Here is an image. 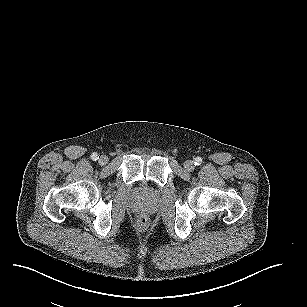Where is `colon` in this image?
<instances>
[{
  "mask_svg": "<svg viewBox=\"0 0 307 307\" xmlns=\"http://www.w3.org/2000/svg\"><path fill=\"white\" fill-rule=\"evenodd\" d=\"M137 224L140 228H145L148 224V218L145 215H142L138 218Z\"/></svg>",
  "mask_w": 307,
  "mask_h": 307,
  "instance_id": "1",
  "label": "colon"
}]
</instances>
